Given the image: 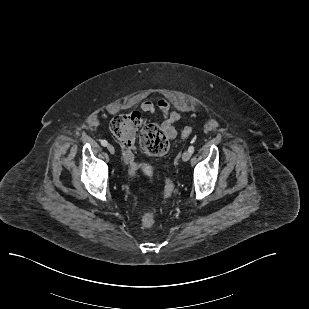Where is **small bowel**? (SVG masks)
Segmentation results:
<instances>
[{"mask_svg":"<svg viewBox=\"0 0 309 309\" xmlns=\"http://www.w3.org/2000/svg\"><path fill=\"white\" fill-rule=\"evenodd\" d=\"M156 109L162 113L163 122L161 127L167 138L174 139L177 136L174 123L180 120L181 113L178 110L171 109V103L167 98H160L156 104L150 100L144 101L141 104V110L145 113L153 114ZM126 159L128 163L135 168L134 157L131 153H126Z\"/></svg>","mask_w":309,"mask_h":309,"instance_id":"small-bowel-1","label":"small bowel"}]
</instances>
